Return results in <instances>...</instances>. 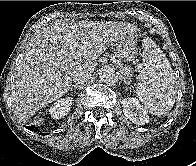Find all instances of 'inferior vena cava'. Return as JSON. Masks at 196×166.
<instances>
[{"label":"inferior vena cava","instance_id":"602c4592","mask_svg":"<svg viewBox=\"0 0 196 166\" xmlns=\"http://www.w3.org/2000/svg\"><path fill=\"white\" fill-rule=\"evenodd\" d=\"M92 72L89 71H79L76 72L73 76V81L76 84H83L85 81H87L91 77Z\"/></svg>","mask_w":196,"mask_h":166}]
</instances>
